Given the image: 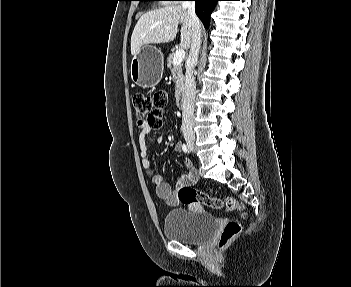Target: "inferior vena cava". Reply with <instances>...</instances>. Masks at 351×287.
Wrapping results in <instances>:
<instances>
[{
    "label": "inferior vena cava",
    "instance_id": "inferior-vena-cava-1",
    "mask_svg": "<svg viewBox=\"0 0 351 287\" xmlns=\"http://www.w3.org/2000/svg\"><path fill=\"white\" fill-rule=\"evenodd\" d=\"M182 7L187 9L194 34L188 59L186 61L185 86L182 99V133L185 139H195L194 125V102L196 83L193 68L197 64L201 48V24L195 13V1H182Z\"/></svg>",
    "mask_w": 351,
    "mask_h": 287
}]
</instances>
